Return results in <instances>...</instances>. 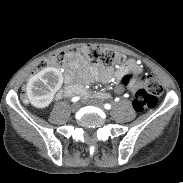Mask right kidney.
Listing matches in <instances>:
<instances>
[{"label":"right kidney","instance_id":"obj_1","mask_svg":"<svg viewBox=\"0 0 183 183\" xmlns=\"http://www.w3.org/2000/svg\"><path fill=\"white\" fill-rule=\"evenodd\" d=\"M63 82L62 73L48 67L31 77L27 83V96L30 103L39 109L47 107L53 100L54 93Z\"/></svg>","mask_w":183,"mask_h":183}]
</instances>
